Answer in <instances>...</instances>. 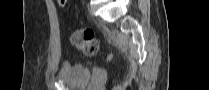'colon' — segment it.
<instances>
[{"instance_id":"colon-1","label":"colon","mask_w":209,"mask_h":90,"mask_svg":"<svg viewBox=\"0 0 209 90\" xmlns=\"http://www.w3.org/2000/svg\"><path fill=\"white\" fill-rule=\"evenodd\" d=\"M65 3L66 0L60 1L61 6H64ZM71 42L87 56H92L99 50V41L94 31L88 28L75 30L71 36Z\"/></svg>"}]
</instances>
